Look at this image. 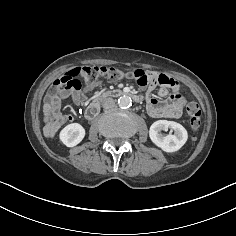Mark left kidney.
I'll use <instances>...</instances> for the list:
<instances>
[{
    "label": "left kidney",
    "mask_w": 236,
    "mask_h": 236,
    "mask_svg": "<svg viewBox=\"0 0 236 236\" xmlns=\"http://www.w3.org/2000/svg\"><path fill=\"white\" fill-rule=\"evenodd\" d=\"M172 129L174 134L163 135L161 131ZM151 141L165 152L178 151L187 141L186 129L179 123L168 120L154 122L149 130Z\"/></svg>",
    "instance_id": "1"
}]
</instances>
